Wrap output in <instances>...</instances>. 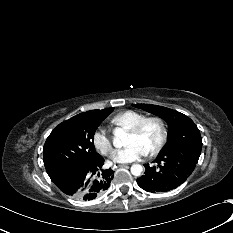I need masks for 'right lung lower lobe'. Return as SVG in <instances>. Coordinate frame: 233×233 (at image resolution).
Returning <instances> with one entry per match:
<instances>
[{"instance_id": "obj_1", "label": "right lung lower lobe", "mask_w": 233, "mask_h": 233, "mask_svg": "<svg viewBox=\"0 0 233 233\" xmlns=\"http://www.w3.org/2000/svg\"><path fill=\"white\" fill-rule=\"evenodd\" d=\"M104 158L101 156L92 163L83 164L68 171L59 181L57 187L65 194L79 200H92L110 186L113 173L103 169Z\"/></svg>"}]
</instances>
